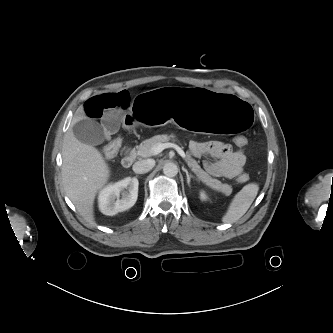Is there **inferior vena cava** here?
I'll list each match as a JSON object with an SVG mask.
<instances>
[{"label":"inferior vena cava","instance_id":"602c4592","mask_svg":"<svg viewBox=\"0 0 333 333\" xmlns=\"http://www.w3.org/2000/svg\"><path fill=\"white\" fill-rule=\"evenodd\" d=\"M155 166V160L146 159L140 160L134 163L133 171L137 174H144L149 172Z\"/></svg>","mask_w":333,"mask_h":333}]
</instances>
